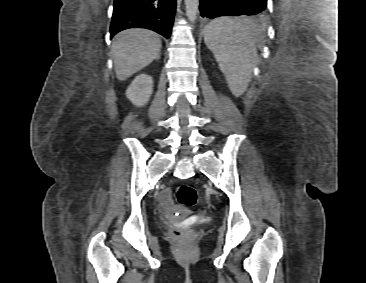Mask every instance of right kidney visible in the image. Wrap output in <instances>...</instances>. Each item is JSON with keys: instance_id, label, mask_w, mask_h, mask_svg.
I'll use <instances>...</instances> for the list:
<instances>
[{"instance_id": "right-kidney-1", "label": "right kidney", "mask_w": 366, "mask_h": 283, "mask_svg": "<svg viewBox=\"0 0 366 283\" xmlns=\"http://www.w3.org/2000/svg\"><path fill=\"white\" fill-rule=\"evenodd\" d=\"M153 92V80L150 75H138L126 90V97L136 106H144Z\"/></svg>"}]
</instances>
